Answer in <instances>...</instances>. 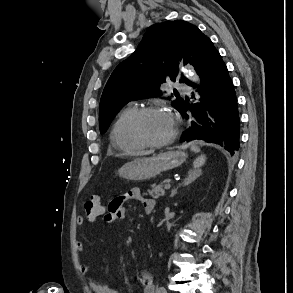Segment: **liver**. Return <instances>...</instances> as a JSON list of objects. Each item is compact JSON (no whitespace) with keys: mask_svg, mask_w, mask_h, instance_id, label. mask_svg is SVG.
I'll list each match as a JSON object with an SVG mask.
<instances>
[{"mask_svg":"<svg viewBox=\"0 0 293 293\" xmlns=\"http://www.w3.org/2000/svg\"><path fill=\"white\" fill-rule=\"evenodd\" d=\"M141 155H148V154H151V152H142L140 153ZM116 156H120V155H116Z\"/></svg>","mask_w":293,"mask_h":293,"instance_id":"1","label":"liver"}]
</instances>
